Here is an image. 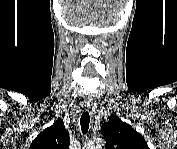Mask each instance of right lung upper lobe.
Segmentation results:
<instances>
[{
    "label": "right lung upper lobe",
    "instance_id": "right-lung-upper-lobe-1",
    "mask_svg": "<svg viewBox=\"0 0 177 149\" xmlns=\"http://www.w3.org/2000/svg\"><path fill=\"white\" fill-rule=\"evenodd\" d=\"M68 146L69 133L66 131L63 121L58 119L34 139L30 149H68Z\"/></svg>",
    "mask_w": 177,
    "mask_h": 149
}]
</instances>
